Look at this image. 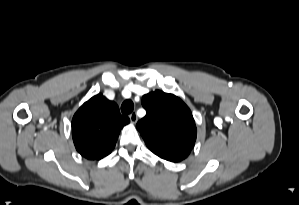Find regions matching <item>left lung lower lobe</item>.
Returning <instances> with one entry per match:
<instances>
[{
    "label": "left lung lower lobe",
    "instance_id": "left-lung-lower-lobe-1",
    "mask_svg": "<svg viewBox=\"0 0 299 205\" xmlns=\"http://www.w3.org/2000/svg\"><path fill=\"white\" fill-rule=\"evenodd\" d=\"M191 150L188 149H166L161 152H156L157 156H159L162 159L171 161V162H179L183 159H185Z\"/></svg>",
    "mask_w": 299,
    "mask_h": 205
}]
</instances>
